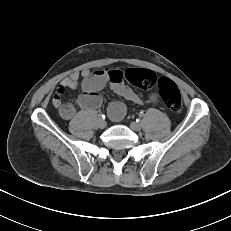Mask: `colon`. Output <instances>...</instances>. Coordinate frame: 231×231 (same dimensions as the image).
I'll return each instance as SVG.
<instances>
[{
  "label": "colon",
  "mask_w": 231,
  "mask_h": 231,
  "mask_svg": "<svg viewBox=\"0 0 231 231\" xmlns=\"http://www.w3.org/2000/svg\"><path fill=\"white\" fill-rule=\"evenodd\" d=\"M125 82L140 89L149 90L155 88L165 106L179 112L182 108V98L176 84L165 77L158 78L154 72L146 69H128L123 74Z\"/></svg>",
  "instance_id": "colon-1"
}]
</instances>
